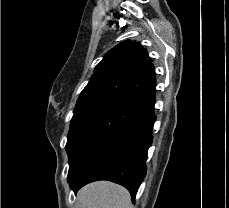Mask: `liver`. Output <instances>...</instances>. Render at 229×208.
Here are the masks:
<instances>
[{"label":"liver","instance_id":"liver-1","mask_svg":"<svg viewBox=\"0 0 229 208\" xmlns=\"http://www.w3.org/2000/svg\"><path fill=\"white\" fill-rule=\"evenodd\" d=\"M84 208H129L131 196L125 188L112 182H93L78 192Z\"/></svg>","mask_w":229,"mask_h":208}]
</instances>
